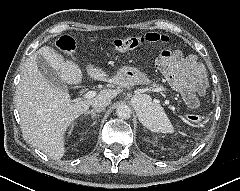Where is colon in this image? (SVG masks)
<instances>
[{"label":"colon","mask_w":240,"mask_h":191,"mask_svg":"<svg viewBox=\"0 0 240 191\" xmlns=\"http://www.w3.org/2000/svg\"><path fill=\"white\" fill-rule=\"evenodd\" d=\"M143 42H161L172 46H176L174 40H170L169 37L165 35H160L155 32L147 33L145 36H129L118 38L113 42V49L118 52L131 51L139 47ZM56 47L68 55H73L76 50V44L73 38L67 35L61 36L55 43ZM189 55L188 53H186ZM171 57V51L164 50L160 54L158 65L161 69H165L167 66V61ZM202 115L198 113H190L187 115V120L192 124H200L202 122Z\"/></svg>","instance_id":"1"}]
</instances>
